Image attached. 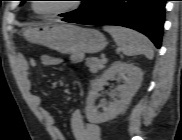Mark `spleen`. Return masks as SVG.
Here are the masks:
<instances>
[{
	"mask_svg": "<svg viewBox=\"0 0 182 140\" xmlns=\"http://www.w3.org/2000/svg\"><path fill=\"white\" fill-rule=\"evenodd\" d=\"M103 29L113 37L125 55L135 56L143 54L148 59L153 58V45L144 35L120 26H104Z\"/></svg>",
	"mask_w": 182,
	"mask_h": 140,
	"instance_id": "spleen-1",
	"label": "spleen"
}]
</instances>
